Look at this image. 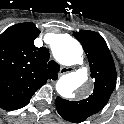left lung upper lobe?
Returning <instances> with one entry per match:
<instances>
[{
    "mask_svg": "<svg viewBox=\"0 0 124 124\" xmlns=\"http://www.w3.org/2000/svg\"><path fill=\"white\" fill-rule=\"evenodd\" d=\"M87 55L94 90L90 96L79 101L56 98V108L61 117L73 123L85 121L99 112L108 102L116 86V69L105 40L94 31L81 30L73 33Z\"/></svg>",
    "mask_w": 124,
    "mask_h": 124,
    "instance_id": "left-lung-upper-lobe-1",
    "label": "left lung upper lobe"
}]
</instances>
